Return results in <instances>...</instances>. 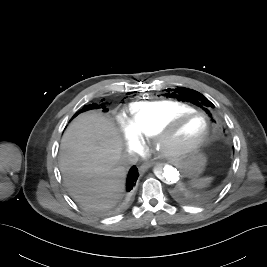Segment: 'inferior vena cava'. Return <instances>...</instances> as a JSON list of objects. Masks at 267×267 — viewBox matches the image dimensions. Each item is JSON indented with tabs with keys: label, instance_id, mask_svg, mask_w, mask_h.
<instances>
[{
	"label": "inferior vena cava",
	"instance_id": "inferior-vena-cava-1",
	"mask_svg": "<svg viewBox=\"0 0 267 267\" xmlns=\"http://www.w3.org/2000/svg\"><path fill=\"white\" fill-rule=\"evenodd\" d=\"M122 161L125 165H134L138 162V155L136 153H124Z\"/></svg>",
	"mask_w": 267,
	"mask_h": 267
}]
</instances>
